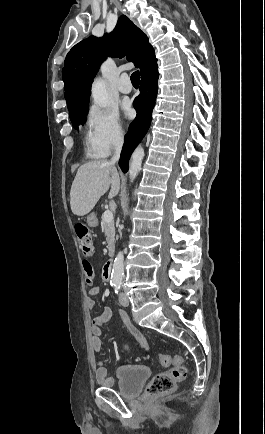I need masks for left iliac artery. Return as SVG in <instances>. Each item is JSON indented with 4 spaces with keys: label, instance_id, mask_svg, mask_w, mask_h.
I'll list each match as a JSON object with an SVG mask.
<instances>
[{
    "label": "left iliac artery",
    "instance_id": "44dca946",
    "mask_svg": "<svg viewBox=\"0 0 265 434\" xmlns=\"http://www.w3.org/2000/svg\"><path fill=\"white\" fill-rule=\"evenodd\" d=\"M120 285H121V283H116V285L114 286V288H115V293L116 294H118V290L120 289Z\"/></svg>",
    "mask_w": 265,
    "mask_h": 434
}]
</instances>
